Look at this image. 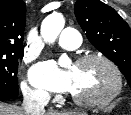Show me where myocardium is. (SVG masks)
<instances>
[{"label":"myocardium","mask_w":131,"mask_h":115,"mask_svg":"<svg viewBox=\"0 0 131 115\" xmlns=\"http://www.w3.org/2000/svg\"><path fill=\"white\" fill-rule=\"evenodd\" d=\"M93 60L105 63L113 72L115 77V87L107 96L103 98H79L71 95V100L82 107H102L115 100L123 91V77L119 67L109 57L100 53H91L80 56L75 61V65H81Z\"/></svg>","instance_id":"myocardium-1"}]
</instances>
